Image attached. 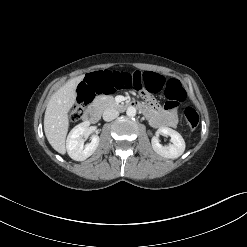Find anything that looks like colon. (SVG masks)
Returning <instances> with one entry per match:
<instances>
[{"mask_svg": "<svg viewBox=\"0 0 247 247\" xmlns=\"http://www.w3.org/2000/svg\"><path fill=\"white\" fill-rule=\"evenodd\" d=\"M139 91L157 93L164 90L167 98L166 105L175 107L186 97V92L181 83L176 79L165 80L162 76L154 73L131 74L128 65L110 66L106 71H98L85 78L79 88V99L74 107L72 118L78 120L83 114L87 104L99 94H112L127 90L131 85ZM184 118L187 126L195 130L199 125V115L193 107L184 109Z\"/></svg>", "mask_w": 247, "mask_h": 247, "instance_id": "5ec220e1", "label": "colon"}]
</instances>
